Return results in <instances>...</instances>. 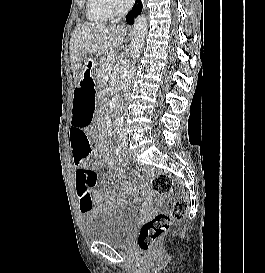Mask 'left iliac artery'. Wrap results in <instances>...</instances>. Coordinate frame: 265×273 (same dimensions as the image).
Masks as SVG:
<instances>
[{"instance_id":"1","label":"left iliac artery","mask_w":265,"mask_h":273,"mask_svg":"<svg viewBox=\"0 0 265 273\" xmlns=\"http://www.w3.org/2000/svg\"><path fill=\"white\" fill-rule=\"evenodd\" d=\"M118 126H123V122L122 121H120V122H118Z\"/></svg>"}]
</instances>
